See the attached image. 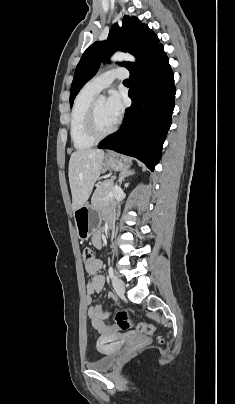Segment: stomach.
<instances>
[{"instance_id":"0dacf381","label":"stomach","mask_w":235,"mask_h":404,"mask_svg":"<svg viewBox=\"0 0 235 404\" xmlns=\"http://www.w3.org/2000/svg\"><path fill=\"white\" fill-rule=\"evenodd\" d=\"M103 166L104 169L122 172L128 169L129 164L126 158L113 154L105 157ZM73 216L76 233L81 240L88 239L101 223L100 210L93 205L84 204L73 212Z\"/></svg>"}]
</instances>
